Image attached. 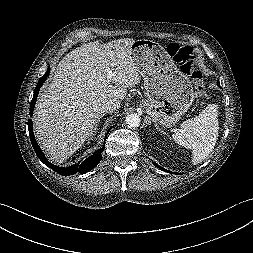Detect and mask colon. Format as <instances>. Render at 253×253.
Returning <instances> with one entry per match:
<instances>
[{"instance_id": "obj_1", "label": "colon", "mask_w": 253, "mask_h": 253, "mask_svg": "<svg viewBox=\"0 0 253 253\" xmlns=\"http://www.w3.org/2000/svg\"><path fill=\"white\" fill-rule=\"evenodd\" d=\"M167 51L170 57L178 62L182 69L194 79L198 92L204 94V73L197 64L194 49L171 43Z\"/></svg>"}]
</instances>
